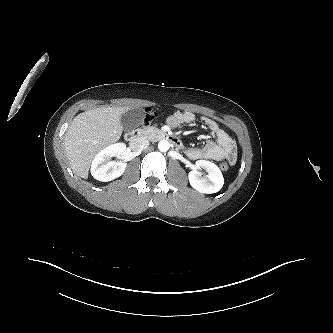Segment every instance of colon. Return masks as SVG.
<instances>
[{"label":"colon","instance_id":"1","mask_svg":"<svg viewBox=\"0 0 333 333\" xmlns=\"http://www.w3.org/2000/svg\"><path fill=\"white\" fill-rule=\"evenodd\" d=\"M157 114L150 108L145 110V117H144V124L151 123L155 118ZM220 168L223 171H227L229 169V161L226 158H223L220 163Z\"/></svg>","mask_w":333,"mask_h":333}]
</instances>
